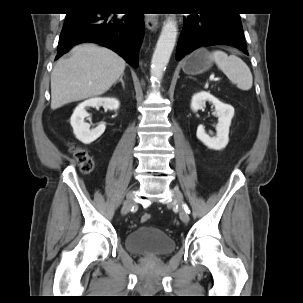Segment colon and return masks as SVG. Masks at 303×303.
I'll list each match as a JSON object with an SVG mask.
<instances>
[{"mask_svg": "<svg viewBox=\"0 0 303 303\" xmlns=\"http://www.w3.org/2000/svg\"><path fill=\"white\" fill-rule=\"evenodd\" d=\"M74 155L81 165L82 171L86 173L92 172L94 168V161L93 158L84 150L81 148L75 149ZM151 219V215L149 213H143L140 217L141 223H146Z\"/></svg>", "mask_w": 303, "mask_h": 303, "instance_id": "obj_1", "label": "colon"}]
</instances>
